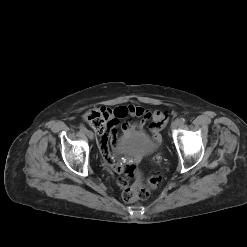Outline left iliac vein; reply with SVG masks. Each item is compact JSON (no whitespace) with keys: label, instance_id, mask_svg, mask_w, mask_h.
Segmentation results:
<instances>
[{"label":"left iliac vein","instance_id":"4c4485c4","mask_svg":"<svg viewBox=\"0 0 247 247\" xmlns=\"http://www.w3.org/2000/svg\"><path fill=\"white\" fill-rule=\"evenodd\" d=\"M179 125H180L179 121L175 120L171 123V129H176L179 127Z\"/></svg>","mask_w":247,"mask_h":247}]
</instances>
